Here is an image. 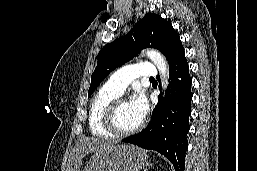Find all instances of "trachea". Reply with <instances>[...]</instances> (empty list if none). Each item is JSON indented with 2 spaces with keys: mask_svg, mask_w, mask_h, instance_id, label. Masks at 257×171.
I'll use <instances>...</instances> for the list:
<instances>
[{
  "mask_svg": "<svg viewBox=\"0 0 257 171\" xmlns=\"http://www.w3.org/2000/svg\"><path fill=\"white\" fill-rule=\"evenodd\" d=\"M150 80H154V78H150Z\"/></svg>",
  "mask_w": 257,
  "mask_h": 171,
  "instance_id": "trachea-1",
  "label": "trachea"
}]
</instances>
